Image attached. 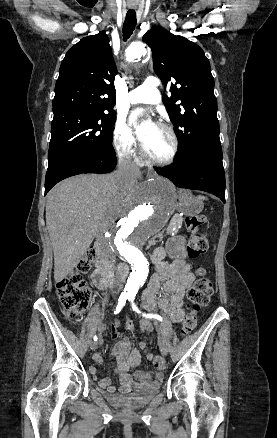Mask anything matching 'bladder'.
<instances>
[{
  "instance_id": "31cf9c89",
  "label": "bladder",
  "mask_w": 277,
  "mask_h": 438,
  "mask_svg": "<svg viewBox=\"0 0 277 438\" xmlns=\"http://www.w3.org/2000/svg\"><path fill=\"white\" fill-rule=\"evenodd\" d=\"M161 382L156 381L152 385L128 394L111 393L108 395L111 402L123 409H137L146 406L159 392Z\"/></svg>"
}]
</instances>
